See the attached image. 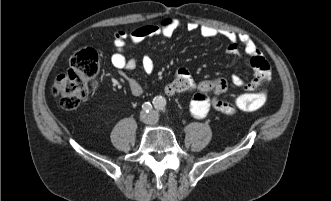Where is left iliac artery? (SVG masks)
<instances>
[{
	"label": "left iliac artery",
	"mask_w": 331,
	"mask_h": 201,
	"mask_svg": "<svg viewBox=\"0 0 331 201\" xmlns=\"http://www.w3.org/2000/svg\"><path fill=\"white\" fill-rule=\"evenodd\" d=\"M154 106L158 110H164L166 106V101L162 97H157L154 99Z\"/></svg>",
	"instance_id": "44dca946"
}]
</instances>
